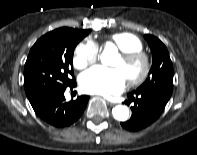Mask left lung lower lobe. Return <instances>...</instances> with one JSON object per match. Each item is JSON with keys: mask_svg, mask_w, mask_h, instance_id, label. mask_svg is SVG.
Listing matches in <instances>:
<instances>
[{"mask_svg": "<svg viewBox=\"0 0 197 155\" xmlns=\"http://www.w3.org/2000/svg\"><path fill=\"white\" fill-rule=\"evenodd\" d=\"M130 103L134 101L130 120L121 122V126L129 131H138L153 123L163 112L169 99L154 93L133 91L127 95Z\"/></svg>", "mask_w": 197, "mask_h": 155, "instance_id": "0a47b994", "label": "left lung lower lobe"}]
</instances>
